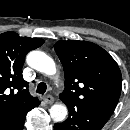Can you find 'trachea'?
<instances>
[{"mask_svg":"<svg viewBox=\"0 0 130 130\" xmlns=\"http://www.w3.org/2000/svg\"><path fill=\"white\" fill-rule=\"evenodd\" d=\"M47 90V85L43 82H40L37 86L36 92L39 94H44Z\"/></svg>","mask_w":130,"mask_h":130,"instance_id":"3493384b","label":"trachea"}]
</instances>
